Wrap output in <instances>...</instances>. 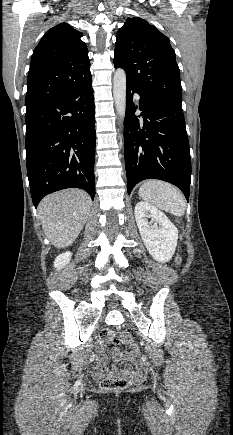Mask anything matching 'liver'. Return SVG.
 I'll return each mask as SVG.
<instances>
[{"mask_svg": "<svg viewBox=\"0 0 233 435\" xmlns=\"http://www.w3.org/2000/svg\"><path fill=\"white\" fill-rule=\"evenodd\" d=\"M90 208L89 195L80 189H66L46 196L38 206L46 237L56 248L71 245L83 229Z\"/></svg>", "mask_w": 233, "mask_h": 435, "instance_id": "liver-1", "label": "liver"}]
</instances>
